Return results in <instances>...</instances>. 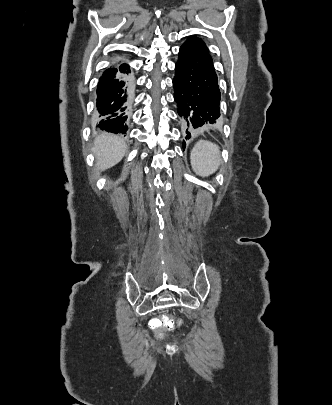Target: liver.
<instances>
[{
  "label": "liver",
  "mask_w": 332,
  "mask_h": 405,
  "mask_svg": "<svg viewBox=\"0 0 332 405\" xmlns=\"http://www.w3.org/2000/svg\"><path fill=\"white\" fill-rule=\"evenodd\" d=\"M127 151L125 140L113 134L102 133L94 141L93 153L96 166L104 171L120 162Z\"/></svg>",
  "instance_id": "6515ba94"
}]
</instances>
